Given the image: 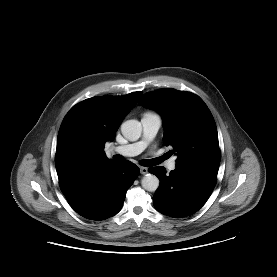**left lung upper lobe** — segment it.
Wrapping results in <instances>:
<instances>
[{
    "mask_svg": "<svg viewBox=\"0 0 277 277\" xmlns=\"http://www.w3.org/2000/svg\"><path fill=\"white\" fill-rule=\"evenodd\" d=\"M140 106L156 109L164 123L163 142L172 145L176 167H219L220 149L214 118L197 95L176 89H158L143 95Z\"/></svg>",
    "mask_w": 277,
    "mask_h": 277,
    "instance_id": "obj_1",
    "label": "left lung upper lobe"
}]
</instances>
